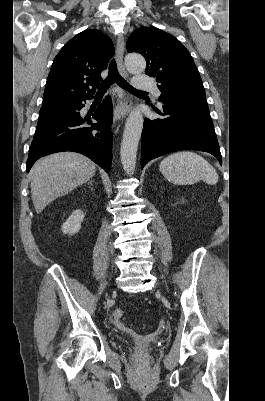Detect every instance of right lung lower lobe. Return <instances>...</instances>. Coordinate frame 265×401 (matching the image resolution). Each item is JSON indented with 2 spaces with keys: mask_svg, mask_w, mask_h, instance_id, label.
<instances>
[{
  "mask_svg": "<svg viewBox=\"0 0 265 401\" xmlns=\"http://www.w3.org/2000/svg\"><path fill=\"white\" fill-rule=\"evenodd\" d=\"M82 101L72 111H53L39 115L34 138L29 148L27 172L39 158L61 151L81 153L105 171H110L113 119L111 99L109 96L106 97L96 111L85 118H82L79 113L84 107Z\"/></svg>",
  "mask_w": 265,
  "mask_h": 401,
  "instance_id": "obj_1",
  "label": "right lung lower lobe"
}]
</instances>
